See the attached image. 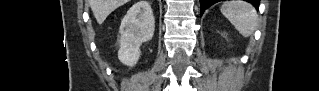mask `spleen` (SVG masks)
<instances>
[{"label":"spleen","mask_w":319,"mask_h":91,"mask_svg":"<svg viewBox=\"0 0 319 91\" xmlns=\"http://www.w3.org/2000/svg\"><path fill=\"white\" fill-rule=\"evenodd\" d=\"M220 10L242 36L249 37L253 34L258 15L251 4L244 1H227Z\"/></svg>","instance_id":"obj_1"}]
</instances>
